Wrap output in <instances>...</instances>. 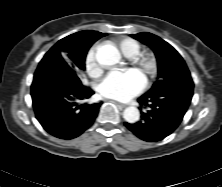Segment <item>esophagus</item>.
Here are the masks:
<instances>
[{"label":"esophagus","mask_w":222,"mask_h":187,"mask_svg":"<svg viewBox=\"0 0 222 187\" xmlns=\"http://www.w3.org/2000/svg\"><path fill=\"white\" fill-rule=\"evenodd\" d=\"M115 104H117L118 106H121V107H123V108H124V107H126V105H125V104H121V103L116 102V101H115Z\"/></svg>","instance_id":"esophagus-1"}]
</instances>
